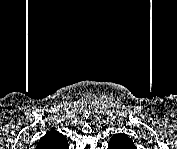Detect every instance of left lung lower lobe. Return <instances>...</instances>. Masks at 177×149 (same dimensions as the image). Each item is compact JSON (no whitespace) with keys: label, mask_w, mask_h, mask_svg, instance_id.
Segmentation results:
<instances>
[{"label":"left lung lower lobe","mask_w":177,"mask_h":149,"mask_svg":"<svg viewBox=\"0 0 177 149\" xmlns=\"http://www.w3.org/2000/svg\"><path fill=\"white\" fill-rule=\"evenodd\" d=\"M130 138L127 135L122 134H115L112 136L109 142V148L110 149H130L134 148V143H130L129 145H126L125 143H128L127 141Z\"/></svg>","instance_id":"1"}]
</instances>
